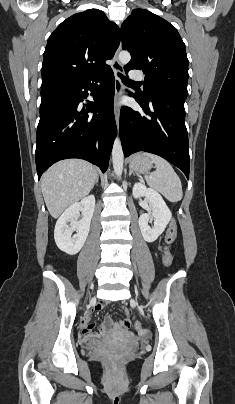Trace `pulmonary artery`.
I'll return each mask as SVG.
<instances>
[{
	"label": "pulmonary artery",
	"instance_id": "e3ab8cb5",
	"mask_svg": "<svg viewBox=\"0 0 235 404\" xmlns=\"http://www.w3.org/2000/svg\"><path fill=\"white\" fill-rule=\"evenodd\" d=\"M130 77L133 80L141 81L142 80V73L139 70L132 69L130 71Z\"/></svg>",
	"mask_w": 235,
	"mask_h": 404
}]
</instances>
